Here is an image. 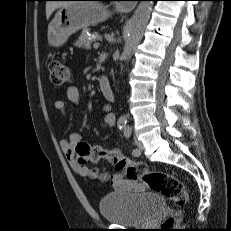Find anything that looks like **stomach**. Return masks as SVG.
<instances>
[{"mask_svg": "<svg viewBox=\"0 0 231 231\" xmlns=\"http://www.w3.org/2000/svg\"><path fill=\"white\" fill-rule=\"evenodd\" d=\"M110 14L107 6L98 2L61 7L48 26V42L53 47H60L73 33L106 20Z\"/></svg>", "mask_w": 231, "mask_h": 231, "instance_id": "1", "label": "stomach"}]
</instances>
